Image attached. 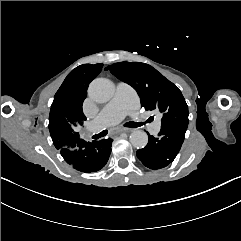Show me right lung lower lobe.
Masks as SVG:
<instances>
[{
	"label": "right lung lower lobe",
	"mask_w": 241,
	"mask_h": 241,
	"mask_svg": "<svg viewBox=\"0 0 241 241\" xmlns=\"http://www.w3.org/2000/svg\"><path fill=\"white\" fill-rule=\"evenodd\" d=\"M112 139L86 142L78 139L59 148L64 160L74 169L91 173L102 169L110 156Z\"/></svg>",
	"instance_id": "98d812e1"
}]
</instances>
